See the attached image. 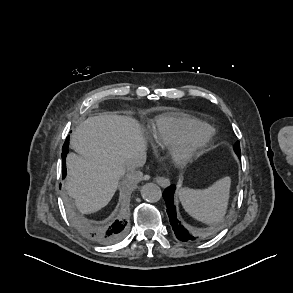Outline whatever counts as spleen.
Instances as JSON below:
<instances>
[{"label": "spleen", "mask_w": 293, "mask_h": 293, "mask_svg": "<svg viewBox=\"0 0 293 293\" xmlns=\"http://www.w3.org/2000/svg\"><path fill=\"white\" fill-rule=\"evenodd\" d=\"M230 186V177H224L206 189L181 188L178 196L190 216L206 224H216L226 214Z\"/></svg>", "instance_id": "spleen-1"}]
</instances>
